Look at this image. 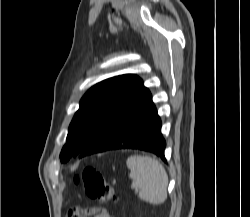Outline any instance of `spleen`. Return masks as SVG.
<instances>
[{
  "instance_id": "obj_1",
  "label": "spleen",
  "mask_w": 250,
  "mask_h": 217,
  "mask_svg": "<svg viewBox=\"0 0 250 217\" xmlns=\"http://www.w3.org/2000/svg\"><path fill=\"white\" fill-rule=\"evenodd\" d=\"M132 179L131 188L139 189L138 197L158 205L167 199L168 175L162 164L149 156L134 155L126 161Z\"/></svg>"
}]
</instances>
